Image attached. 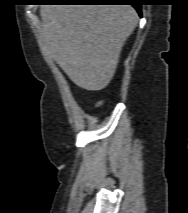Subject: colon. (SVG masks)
<instances>
[{
    "instance_id": "colon-1",
    "label": "colon",
    "mask_w": 188,
    "mask_h": 213,
    "mask_svg": "<svg viewBox=\"0 0 188 213\" xmlns=\"http://www.w3.org/2000/svg\"><path fill=\"white\" fill-rule=\"evenodd\" d=\"M97 105H98V106H100V105H101V103H98Z\"/></svg>"
}]
</instances>
